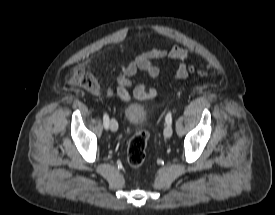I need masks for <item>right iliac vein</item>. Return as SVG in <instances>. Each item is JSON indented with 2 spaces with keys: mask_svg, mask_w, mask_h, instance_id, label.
<instances>
[{
  "mask_svg": "<svg viewBox=\"0 0 275 215\" xmlns=\"http://www.w3.org/2000/svg\"><path fill=\"white\" fill-rule=\"evenodd\" d=\"M110 129L113 131V132H116L118 130V123L115 119H111L110 120Z\"/></svg>",
  "mask_w": 275,
  "mask_h": 215,
  "instance_id": "1",
  "label": "right iliac vein"
}]
</instances>
